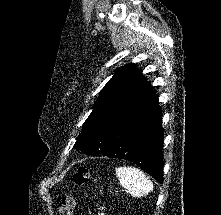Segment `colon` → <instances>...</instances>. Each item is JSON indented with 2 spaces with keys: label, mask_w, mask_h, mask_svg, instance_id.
Returning a JSON list of instances; mask_svg holds the SVG:
<instances>
[{
  "label": "colon",
  "mask_w": 221,
  "mask_h": 215,
  "mask_svg": "<svg viewBox=\"0 0 221 215\" xmlns=\"http://www.w3.org/2000/svg\"><path fill=\"white\" fill-rule=\"evenodd\" d=\"M90 172L86 167H79L72 176V180L76 185H84L90 180ZM75 199L71 196H65L61 200V206L58 209L57 215H73L75 208ZM96 215H105L103 209L100 208Z\"/></svg>",
  "instance_id": "1"
}]
</instances>
